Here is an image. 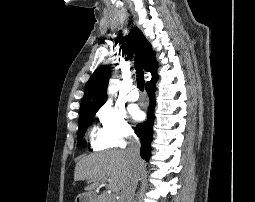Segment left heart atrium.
<instances>
[{"label":"left heart atrium","instance_id":"left-heart-atrium-1","mask_svg":"<svg viewBox=\"0 0 255 202\" xmlns=\"http://www.w3.org/2000/svg\"><path fill=\"white\" fill-rule=\"evenodd\" d=\"M130 113L131 116L135 119V120H139L142 118V112L140 111V109L136 106L131 107L130 109Z\"/></svg>","mask_w":255,"mask_h":202}]
</instances>
